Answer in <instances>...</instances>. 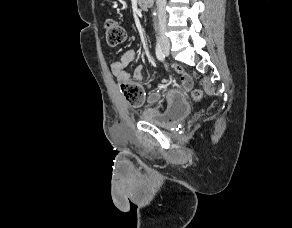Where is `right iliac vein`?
<instances>
[{"label": "right iliac vein", "instance_id": "right-iliac-vein-1", "mask_svg": "<svg viewBox=\"0 0 292 228\" xmlns=\"http://www.w3.org/2000/svg\"><path fill=\"white\" fill-rule=\"evenodd\" d=\"M162 48H163L164 50L168 51L169 48H170V45L167 44V43H163V44H162Z\"/></svg>", "mask_w": 292, "mask_h": 228}]
</instances>
